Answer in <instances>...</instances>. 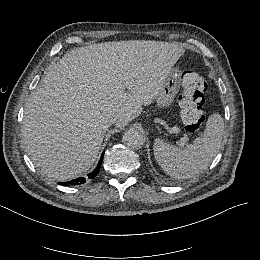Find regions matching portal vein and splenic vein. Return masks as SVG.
Here are the masks:
<instances>
[{
    "label": "portal vein and splenic vein",
    "instance_id": "portal-vein-and-splenic-vein-1",
    "mask_svg": "<svg viewBox=\"0 0 260 260\" xmlns=\"http://www.w3.org/2000/svg\"><path fill=\"white\" fill-rule=\"evenodd\" d=\"M181 129L178 128V127H174L172 130H171V133H180ZM189 140V137L187 134H183V137L180 139V142H179V146L182 148L184 147L185 145V142H187Z\"/></svg>",
    "mask_w": 260,
    "mask_h": 260
}]
</instances>
